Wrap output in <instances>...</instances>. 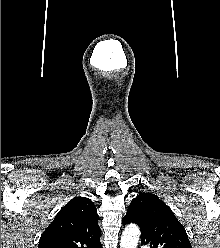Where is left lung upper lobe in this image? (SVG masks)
Here are the masks:
<instances>
[{
    "label": "left lung upper lobe",
    "mask_w": 220,
    "mask_h": 248,
    "mask_svg": "<svg viewBox=\"0 0 220 248\" xmlns=\"http://www.w3.org/2000/svg\"><path fill=\"white\" fill-rule=\"evenodd\" d=\"M135 223L141 230V244L151 248H192L184 226L162 200L151 193L135 197L123 224Z\"/></svg>",
    "instance_id": "1"
}]
</instances>
